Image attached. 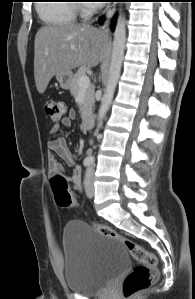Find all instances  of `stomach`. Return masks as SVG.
Returning a JSON list of instances; mask_svg holds the SVG:
<instances>
[{
  "label": "stomach",
  "instance_id": "1",
  "mask_svg": "<svg viewBox=\"0 0 195 299\" xmlns=\"http://www.w3.org/2000/svg\"><path fill=\"white\" fill-rule=\"evenodd\" d=\"M56 79L59 82L60 87L62 89L67 90L71 87L72 80H73V74L71 71L67 72V73L57 74Z\"/></svg>",
  "mask_w": 195,
  "mask_h": 299
}]
</instances>
